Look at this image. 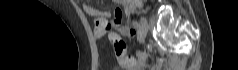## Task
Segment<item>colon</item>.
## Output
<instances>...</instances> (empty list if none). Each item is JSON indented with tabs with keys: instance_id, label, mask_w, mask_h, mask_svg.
Instances as JSON below:
<instances>
[{
	"instance_id": "colon-1",
	"label": "colon",
	"mask_w": 238,
	"mask_h": 70,
	"mask_svg": "<svg viewBox=\"0 0 238 70\" xmlns=\"http://www.w3.org/2000/svg\"><path fill=\"white\" fill-rule=\"evenodd\" d=\"M132 33H110V41L114 46V52L119 59L120 64L127 70H134L135 69V60L133 57L126 56V43L124 42L123 38H132Z\"/></svg>"
}]
</instances>
